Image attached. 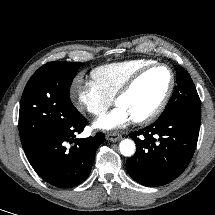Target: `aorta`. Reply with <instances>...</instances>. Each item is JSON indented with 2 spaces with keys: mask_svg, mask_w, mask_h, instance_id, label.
Returning <instances> with one entry per match:
<instances>
[{
  "mask_svg": "<svg viewBox=\"0 0 215 215\" xmlns=\"http://www.w3.org/2000/svg\"><path fill=\"white\" fill-rule=\"evenodd\" d=\"M120 152L124 156H131L135 153V143L130 139H124L119 144Z\"/></svg>",
  "mask_w": 215,
  "mask_h": 215,
  "instance_id": "aorta-1",
  "label": "aorta"
}]
</instances>
